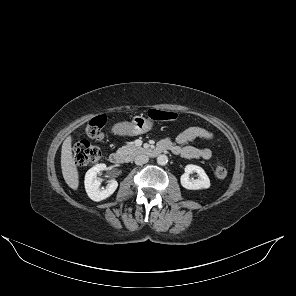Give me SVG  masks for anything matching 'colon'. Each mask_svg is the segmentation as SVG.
I'll use <instances>...</instances> for the list:
<instances>
[{
  "mask_svg": "<svg viewBox=\"0 0 296 296\" xmlns=\"http://www.w3.org/2000/svg\"><path fill=\"white\" fill-rule=\"evenodd\" d=\"M148 116L155 121H173L177 114L173 111L151 109ZM105 117L97 116L92 119L85 128V134L92 139H102ZM73 157L75 163L80 166L95 164L100 160L101 151L98 147L91 145L87 141H79L73 146ZM215 176L224 178L227 175V168L222 163H217L214 170Z\"/></svg>",
  "mask_w": 296,
  "mask_h": 296,
  "instance_id": "5ec220e1",
  "label": "colon"
}]
</instances>
